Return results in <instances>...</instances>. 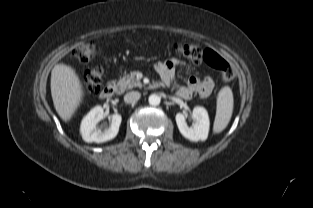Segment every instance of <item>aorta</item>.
Listing matches in <instances>:
<instances>
[{"mask_svg": "<svg viewBox=\"0 0 313 208\" xmlns=\"http://www.w3.org/2000/svg\"><path fill=\"white\" fill-rule=\"evenodd\" d=\"M148 101L150 105L157 106L160 104L161 98L156 94H151Z\"/></svg>", "mask_w": 313, "mask_h": 208, "instance_id": "1", "label": "aorta"}]
</instances>
